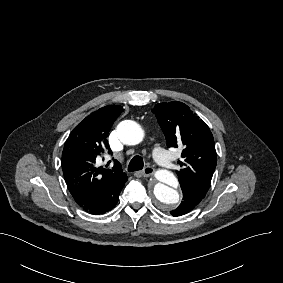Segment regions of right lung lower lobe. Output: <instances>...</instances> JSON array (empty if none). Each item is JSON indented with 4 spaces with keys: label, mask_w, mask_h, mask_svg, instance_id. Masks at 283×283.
Here are the masks:
<instances>
[{
    "label": "right lung lower lobe",
    "mask_w": 283,
    "mask_h": 283,
    "mask_svg": "<svg viewBox=\"0 0 283 283\" xmlns=\"http://www.w3.org/2000/svg\"><path fill=\"white\" fill-rule=\"evenodd\" d=\"M127 181V177L120 183L116 184L111 190L107 191L101 198L90 200L89 202L79 205L86 212L93 215L104 214L113 209L118 200L119 194Z\"/></svg>",
    "instance_id": "obj_1"
}]
</instances>
